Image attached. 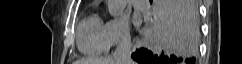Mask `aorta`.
I'll list each match as a JSON object with an SVG mask.
<instances>
[{"mask_svg": "<svg viewBox=\"0 0 242 64\" xmlns=\"http://www.w3.org/2000/svg\"><path fill=\"white\" fill-rule=\"evenodd\" d=\"M127 0H108V11L111 16L119 17L126 8Z\"/></svg>", "mask_w": 242, "mask_h": 64, "instance_id": "aorta-1", "label": "aorta"}]
</instances>
